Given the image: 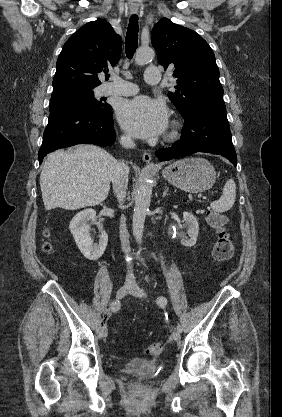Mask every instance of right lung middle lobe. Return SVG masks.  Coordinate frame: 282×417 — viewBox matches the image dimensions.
Masks as SVG:
<instances>
[{
  "label": "right lung middle lobe",
  "instance_id": "right-lung-middle-lobe-1",
  "mask_svg": "<svg viewBox=\"0 0 282 417\" xmlns=\"http://www.w3.org/2000/svg\"><path fill=\"white\" fill-rule=\"evenodd\" d=\"M70 105L102 108L107 104L95 99L93 89L72 90L52 94L50 100V112Z\"/></svg>",
  "mask_w": 282,
  "mask_h": 417
}]
</instances>
